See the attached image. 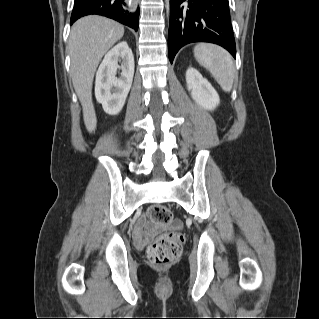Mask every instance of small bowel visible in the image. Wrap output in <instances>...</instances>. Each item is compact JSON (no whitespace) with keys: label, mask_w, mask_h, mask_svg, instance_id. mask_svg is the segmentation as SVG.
Instances as JSON below:
<instances>
[{"label":"small bowel","mask_w":319,"mask_h":319,"mask_svg":"<svg viewBox=\"0 0 319 319\" xmlns=\"http://www.w3.org/2000/svg\"><path fill=\"white\" fill-rule=\"evenodd\" d=\"M160 229L159 226L150 223L145 217H141L134 225L133 234L137 240L141 241L153 237ZM172 229L179 230V224L175 223ZM145 233H147L146 236L144 235Z\"/></svg>","instance_id":"c3829d8e"}]
</instances>
